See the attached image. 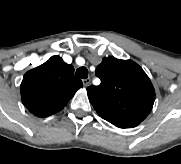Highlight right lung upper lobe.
I'll list each match as a JSON object with an SVG mask.
<instances>
[{"mask_svg":"<svg viewBox=\"0 0 181 164\" xmlns=\"http://www.w3.org/2000/svg\"><path fill=\"white\" fill-rule=\"evenodd\" d=\"M83 87L74 76V67L53 56L28 71L20 86L24 106L37 117H47L64 108L75 92Z\"/></svg>","mask_w":181,"mask_h":164,"instance_id":"right-lung-upper-lobe-1","label":"right lung upper lobe"}]
</instances>
